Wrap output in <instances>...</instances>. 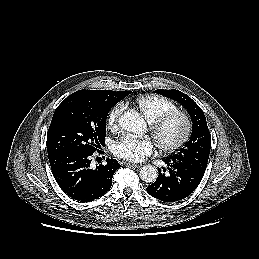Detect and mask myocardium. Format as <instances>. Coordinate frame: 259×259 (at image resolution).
Here are the masks:
<instances>
[{"mask_svg": "<svg viewBox=\"0 0 259 259\" xmlns=\"http://www.w3.org/2000/svg\"><path fill=\"white\" fill-rule=\"evenodd\" d=\"M174 119H179L182 122V133L177 140L171 143H165L160 137L161 130L167 123ZM192 128V121L189 115L178 109L170 110L159 115L150 122L149 126L150 132L157 146L165 153H172L181 149L189 141L192 134Z\"/></svg>", "mask_w": 259, "mask_h": 259, "instance_id": "myocardium-1", "label": "myocardium"}]
</instances>
